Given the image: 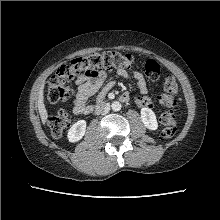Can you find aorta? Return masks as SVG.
I'll use <instances>...</instances> for the list:
<instances>
[{"label":"aorta","instance_id":"aorta-1","mask_svg":"<svg viewBox=\"0 0 220 220\" xmlns=\"http://www.w3.org/2000/svg\"><path fill=\"white\" fill-rule=\"evenodd\" d=\"M111 108L113 111L117 112V111H120L121 110V103L118 102V101H114L112 104H111Z\"/></svg>","mask_w":220,"mask_h":220}]
</instances>
